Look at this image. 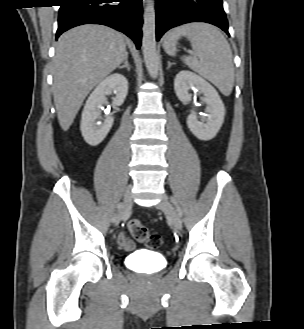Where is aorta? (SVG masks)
Here are the masks:
<instances>
[{
    "label": "aorta",
    "instance_id": "aorta-1",
    "mask_svg": "<svg viewBox=\"0 0 304 329\" xmlns=\"http://www.w3.org/2000/svg\"><path fill=\"white\" fill-rule=\"evenodd\" d=\"M142 50L146 68L152 78H156L159 70V61L156 51L155 37V3L148 0L143 15Z\"/></svg>",
    "mask_w": 304,
    "mask_h": 329
}]
</instances>
